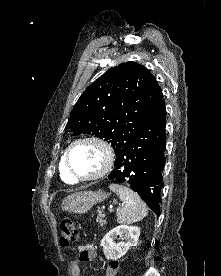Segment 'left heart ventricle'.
<instances>
[{
    "label": "left heart ventricle",
    "instance_id": "obj_1",
    "mask_svg": "<svg viewBox=\"0 0 221 276\" xmlns=\"http://www.w3.org/2000/svg\"><path fill=\"white\" fill-rule=\"evenodd\" d=\"M104 162L102 150L92 143L76 145L70 153V164L75 174L89 176L100 170Z\"/></svg>",
    "mask_w": 221,
    "mask_h": 276
}]
</instances>
